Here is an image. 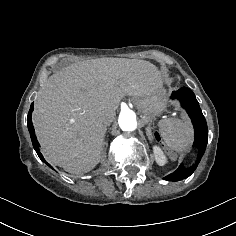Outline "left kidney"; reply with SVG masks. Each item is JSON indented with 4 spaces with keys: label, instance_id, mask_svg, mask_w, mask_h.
Masks as SVG:
<instances>
[{
    "label": "left kidney",
    "instance_id": "obj_1",
    "mask_svg": "<svg viewBox=\"0 0 236 236\" xmlns=\"http://www.w3.org/2000/svg\"><path fill=\"white\" fill-rule=\"evenodd\" d=\"M153 151H154L156 163H157L159 166L165 165V164L167 163V158H166V156L164 155V153H163V151L161 150V148L158 147V146H154V147H153Z\"/></svg>",
    "mask_w": 236,
    "mask_h": 236
}]
</instances>
